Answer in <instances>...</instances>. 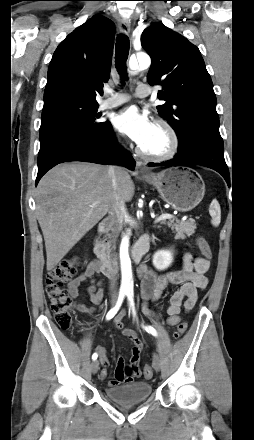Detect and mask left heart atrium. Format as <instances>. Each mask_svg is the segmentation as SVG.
<instances>
[{
    "mask_svg": "<svg viewBox=\"0 0 254 440\" xmlns=\"http://www.w3.org/2000/svg\"><path fill=\"white\" fill-rule=\"evenodd\" d=\"M113 125L140 147L147 141L155 126L148 115L135 106L117 113L113 118Z\"/></svg>",
    "mask_w": 254,
    "mask_h": 440,
    "instance_id": "obj_1",
    "label": "left heart atrium"
}]
</instances>
